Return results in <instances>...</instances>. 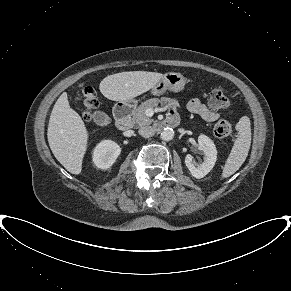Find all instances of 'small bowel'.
<instances>
[{"instance_id":"c3829d8e","label":"small bowel","mask_w":291,"mask_h":291,"mask_svg":"<svg viewBox=\"0 0 291 291\" xmlns=\"http://www.w3.org/2000/svg\"><path fill=\"white\" fill-rule=\"evenodd\" d=\"M187 109L189 112L199 115L202 119L207 122L217 121L220 117L219 113L209 108L201 100L195 98L188 102ZM170 117H176L175 108L172 107L170 110Z\"/></svg>"}]
</instances>
